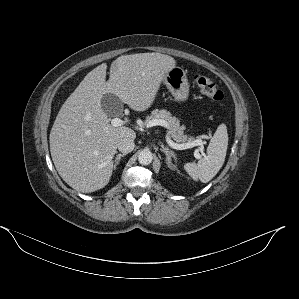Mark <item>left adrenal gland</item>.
<instances>
[{
    "label": "left adrenal gland",
    "mask_w": 299,
    "mask_h": 299,
    "mask_svg": "<svg viewBox=\"0 0 299 299\" xmlns=\"http://www.w3.org/2000/svg\"><path fill=\"white\" fill-rule=\"evenodd\" d=\"M161 147L162 148L160 150L165 153V155H166V162H167L168 166L171 169H174V167L172 165V162H171V157H173L175 159L174 152L172 150H170L168 147H164L163 145Z\"/></svg>",
    "instance_id": "left-adrenal-gland-1"
}]
</instances>
